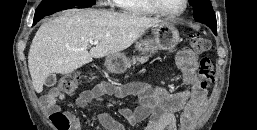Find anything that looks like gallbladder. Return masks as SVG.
<instances>
[{"label": "gallbladder", "mask_w": 257, "mask_h": 130, "mask_svg": "<svg viewBox=\"0 0 257 130\" xmlns=\"http://www.w3.org/2000/svg\"><path fill=\"white\" fill-rule=\"evenodd\" d=\"M56 82H57L56 75H55V74H51V75H49V76L46 78V80H45V82H44V85H45L46 87H52V86H54V85L56 84Z\"/></svg>", "instance_id": "1"}]
</instances>
